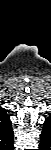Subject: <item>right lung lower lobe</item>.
Instances as JSON below:
<instances>
[{
	"label": "right lung lower lobe",
	"instance_id": "98d812e1",
	"mask_svg": "<svg viewBox=\"0 0 51 150\" xmlns=\"http://www.w3.org/2000/svg\"><path fill=\"white\" fill-rule=\"evenodd\" d=\"M13 143L11 144V146L9 147V150H13Z\"/></svg>",
	"mask_w": 51,
	"mask_h": 150
}]
</instances>
